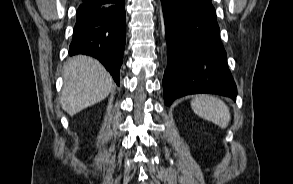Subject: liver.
<instances>
[{
  "instance_id": "6515ba94",
  "label": "liver",
  "mask_w": 293,
  "mask_h": 184,
  "mask_svg": "<svg viewBox=\"0 0 293 184\" xmlns=\"http://www.w3.org/2000/svg\"><path fill=\"white\" fill-rule=\"evenodd\" d=\"M61 106L70 116L105 99L113 80L102 64L91 57L78 55L64 66Z\"/></svg>"
}]
</instances>
